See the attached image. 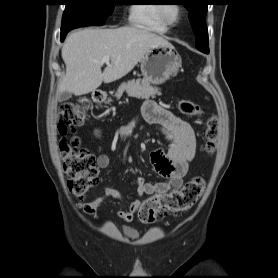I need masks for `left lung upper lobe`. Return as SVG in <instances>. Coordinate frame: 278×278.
<instances>
[{"label": "left lung upper lobe", "instance_id": "obj_1", "mask_svg": "<svg viewBox=\"0 0 278 278\" xmlns=\"http://www.w3.org/2000/svg\"><path fill=\"white\" fill-rule=\"evenodd\" d=\"M183 2V5L189 11V19L196 37V47L199 51L208 53V31L205 23L208 1L183 0Z\"/></svg>", "mask_w": 278, "mask_h": 278}]
</instances>
